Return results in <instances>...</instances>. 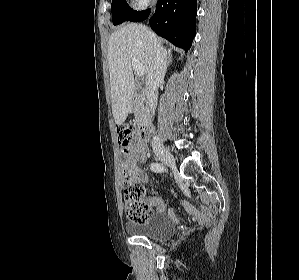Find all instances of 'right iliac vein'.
I'll use <instances>...</instances> for the list:
<instances>
[{
  "label": "right iliac vein",
  "mask_w": 299,
  "mask_h": 280,
  "mask_svg": "<svg viewBox=\"0 0 299 280\" xmlns=\"http://www.w3.org/2000/svg\"><path fill=\"white\" fill-rule=\"evenodd\" d=\"M156 156L166 165L170 167H175V159L173 155L165 148H158L156 151Z\"/></svg>",
  "instance_id": "right-iliac-vein-1"
}]
</instances>
